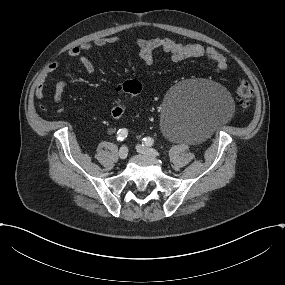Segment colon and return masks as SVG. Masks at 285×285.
<instances>
[{
  "label": "colon",
  "instance_id": "obj_1",
  "mask_svg": "<svg viewBox=\"0 0 285 285\" xmlns=\"http://www.w3.org/2000/svg\"><path fill=\"white\" fill-rule=\"evenodd\" d=\"M120 91L125 95V99L118 102L111 111L114 118H120L125 112L126 100L129 97H135L142 91V84L135 79H129L123 82L120 86ZM253 97V89L249 82L242 81L234 92L235 104L241 107H246Z\"/></svg>",
  "mask_w": 285,
  "mask_h": 285
}]
</instances>
